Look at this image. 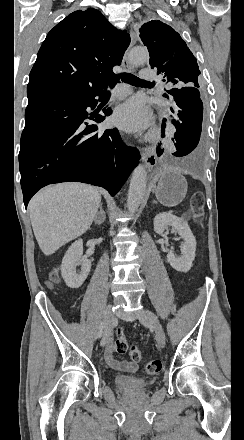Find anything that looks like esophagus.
<instances>
[{
	"label": "esophagus",
	"instance_id": "34e87169",
	"mask_svg": "<svg viewBox=\"0 0 244 440\" xmlns=\"http://www.w3.org/2000/svg\"><path fill=\"white\" fill-rule=\"evenodd\" d=\"M131 36V43L129 45V48L126 50L123 60H122V67L125 72H133V68L129 61V54L130 49L135 45L137 41L136 34L133 32V30L130 31ZM142 160L144 161L147 168H152L157 163V157L155 153V148L151 146L144 147L142 149Z\"/></svg>",
	"mask_w": 244,
	"mask_h": 440
}]
</instances>
